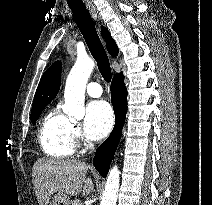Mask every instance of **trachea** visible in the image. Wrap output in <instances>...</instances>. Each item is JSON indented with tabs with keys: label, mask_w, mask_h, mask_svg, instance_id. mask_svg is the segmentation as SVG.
I'll return each instance as SVG.
<instances>
[{
	"label": "trachea",
	"mask_w": 212,
	"mask_h": 205,
	"mask_svg": "<svg viewBox=\"0 0 212 205\" xmlns=\"http://www.w3.org/2000/svg\"><path fill=\"white\" fill-rule=\"evenodd\" d=\"M73 12L87 46L97 62L98 69L106 82L111 81V68L106 51L97 34L94 22L84 4H68Z\"/></svg>",
	"instance_id": "1"
}]
</instances>
